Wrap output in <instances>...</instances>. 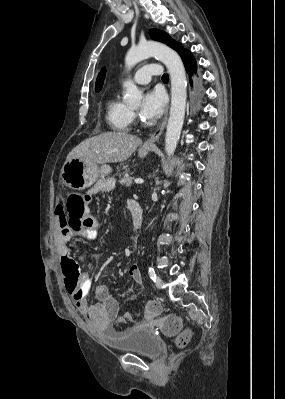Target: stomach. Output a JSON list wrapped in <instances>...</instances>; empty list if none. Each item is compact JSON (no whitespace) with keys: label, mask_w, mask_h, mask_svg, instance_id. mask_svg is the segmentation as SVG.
Listing matches in <instances>:
<instances>
[{"label":"stomach","mask_w":285,"mask_h":399,"mask_svg":"<svg viewBox=\"0 0 285 399\" xmlns=\"http://www.w3.org/2000/svg\"><path fill=\"white\" fill-rule=\"evenodd\" d=\"M149 150L141 151V156L145 155ZM111 172L109 165H101L86 163L80 159H71L66 161L61 169L62 183L74 190H83L95 183L99 176L105 177Z\"/></svg>","instance_id":"stomach-1"}]
</instances>
